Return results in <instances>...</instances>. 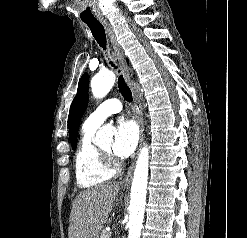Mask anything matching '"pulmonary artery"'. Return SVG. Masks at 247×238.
Here are the masks:
<instances>
[{
	"instance_id": "pulmonary-artery-1",
	"label": "pulmonary artery",
	"mask_w": 247,
	"mask_h": 238,
	"mask_svg": "<svg viewBox=\"0 0 247 238\" xmlns=\"http://www.w3.org/2000/svg\"><path fill=\"white\" fill-rule=\"evenodd\" d=\"M122 110V103L117 98H110L101 103L85 120L84 125L88 127L98 128L105 119Z\"/></svg>"
}]
</instances>
